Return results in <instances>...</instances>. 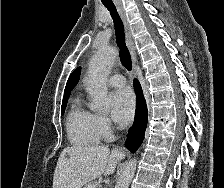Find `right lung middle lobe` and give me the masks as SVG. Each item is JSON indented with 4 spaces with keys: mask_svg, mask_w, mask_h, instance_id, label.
I'll list each match as a JSON object with an SVG mask.
<instances>
[{
    "mask_svg": "<svg viewBox=\"0 0 224 188\" xmlns=\"http://www.w3.org/2000/svg\"><path fill=\"white\" fill-rule=\"evenodd\" d=\"M67 101L62 102V109H61V113L63 114L65 111V107H66Z\"/></svg>",
    "mask_w": 224,
    "mask_h": 188,
    "instance_id": "1",
    "label": "right lung middle lobe"
}]
</instances>
